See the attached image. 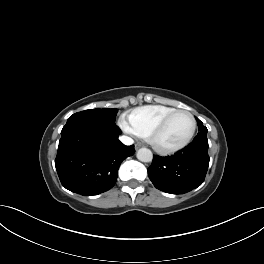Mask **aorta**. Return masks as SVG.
Returning a JSON list of instances; mask_svg holds the SVG:
<instances>
[{
  "label": "aorta",
  "instance_id": "762f6f07",
  "mask_svg": "<svg viewBox=\"0 0 264 264\" xmlns=\"http://www.w3.org/2000/svg\"><path fill=\"white\" fill-rule=\"evenodd\" d=\"M136 157L141 162H151L153 159V154L148 148H141L137 151Z\"/></svg>",
  "mask_w": 264,
  "mask_h": 264
}]
</instances>
